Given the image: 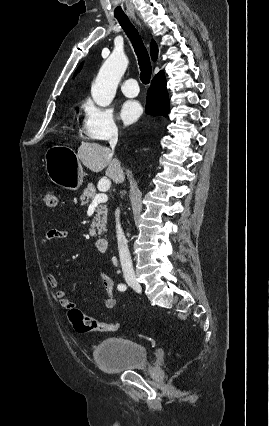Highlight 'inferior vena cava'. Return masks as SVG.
<instances>
[{"label": "inferior vena cava", "instance_id": "602c4592", "mask_svg": "<svg viewBox=\"0 0 269 426\" xmlns=\"http://www.w3.org/2000/svg\"><path fill=\"white\" fill-rule=\"evenodd\" d=\"M118 141V132L113 131L110 136V147L112 150H114L116 144ZM116 234H117V242H118V249H119V256L120 261L122 265V270L124 275H134V270L132 266V260L129 253L128 245H127V239L124 235V232L121 228L120 220H119V214H116Z\"/></svg>", "mask_w": 269, "mask_h": 426}]
</instances>
